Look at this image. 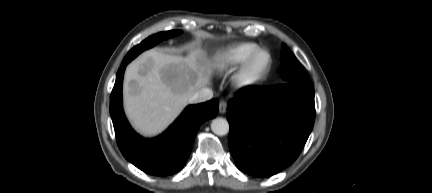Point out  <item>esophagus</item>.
Wrapping results in <instances>:
<instances>
[{
  "label": "esophagus",
  "mask_w": 432,
  "mask_h": 193,
  "mask_svg": "<svg viewBox=\"0 0 432 193\" xmlns=\"http://www.w3.org/2000/svg\"><path fill=\"white\" fill-rule=\"evenodd\" d=\"M227 109V102L224 100H221L219 103V113L224 114Z\"/></svg>",
  "instance_id": "obj_1"
}]
</instances>
